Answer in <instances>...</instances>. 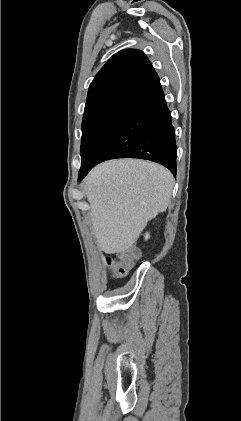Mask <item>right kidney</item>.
Returning a JSON list of instances; mask_svg holds the SVG:
<instances>
[{
    "mask_svg": "<svg viewBox=\"0 0 241 421\" xmlns=\"http://www.w3.org/2000/svg\"><path fill=\"white\" fill-rule=\"evenodd\" d=\"M149 238V234L148 233H146V235H145V239L147 240Z\"/></svg>",
    "mask_w": 241,
    "mask_h": 421,
    "instance_id": "obj_1",
    "label": "right kidney"
}]
</instances>
